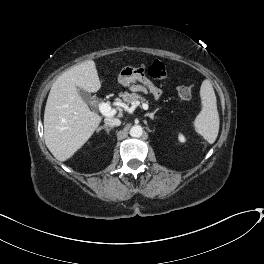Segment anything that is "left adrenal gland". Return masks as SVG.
Instances as JSON below:
<instances>
[{"instance_id":"left-adrenal-gland-1","label":"left adrenal gland","mask_w":264,"mask_h":264,"mask_svg":"<svg viewBox=\"0 0 264 264\" xmlns=\"http://www.w3.org/2000/svg\"><path fill=\"white\" fill-rule=\"evenodd\" d=\"M157 111H158V108L151 113H146L145 116H148L149 118L154 119V115Z\"/></svg>"}]
</instances>
